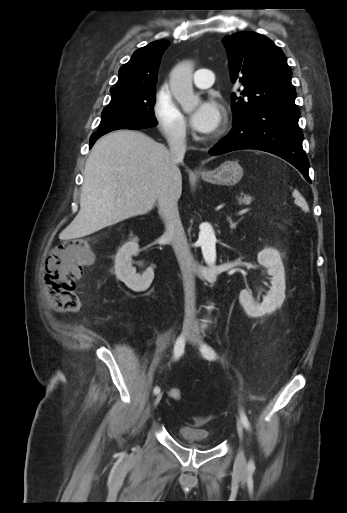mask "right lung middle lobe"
<instances>
[{
    "mask_svg": "<svg viewBox=\"0 0 347 513\" xmlns=\"http://www.w3.org/2000/svg\"><path fill=\"white\" fill-rule=\"evenodd\" d=\"M156 87L111 92V101L104 108L98 131L123 126L136 125L154 127Z\"/></svg>",
    "mask_w": 347,
    "mask_h": 513,
    "instance_id": "1",
    "label": "right lung middle lobe"
}]
</instances>
